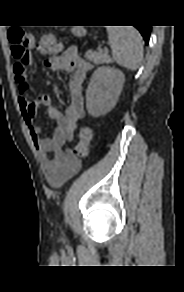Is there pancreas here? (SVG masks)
Here are the masks:
<instances>
[{"mask_svg":"<svg viewBox=\"0 0 184 292\" xmlns=\"http://www.w3.org/2000/svg\"><path fill=\"white\" fill-rule=\"evenodd\" d=\"M85 58L88 61L93 62L94 64H105V63H111V58L108 55L107 52H103L101 50L99 51H87L85 54Z\"/></svg>","mask_w":184,"mask_h":292,"instance_id":"pancreas-1","label":"pancreas"}]
</instances>
